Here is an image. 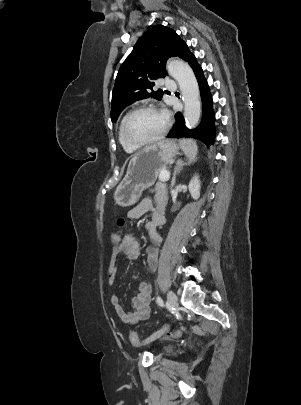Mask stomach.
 <instances>
[{
  "label": "stomach",
  "mask_w": 301,
  "mask_h": 405,
  "mask_svg": "<svg viewBox=\"0 0 301 405\" xmlns=\"http://www.w3.org/2000/svg\"><path fill=\"white\" fill-rule=\"evenodd\" d=\"M174 141L162 140L134 155L128 164L126 174L114 192L115 203L122 207L135 204L142 192L151 187L162 168L178 154Z\"/></svg>",
  "instance_id": "0dacf381"
}]
</instances>
